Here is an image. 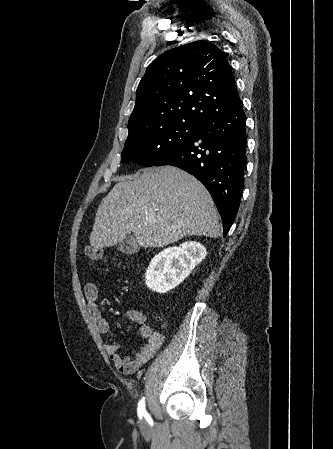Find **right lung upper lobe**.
<instances>
[{
	"label": "right lung upper lobe",
	"mask_w": 333,
	"mask_h": 449,
	"mask_svg": "<svg viewBox=\"0 0 333 449\" xmlns=\"http://www.w3.org/2000/svg\"><path fill=\"white\" fill-rule=\"evenodd\" d=\"M229 63L216 45L198 40L157 57L141 79L127 139L165 124H201L237 101Z\"/></svg>",
	"instance_id": "cb5924a9"
}]
</instances>
